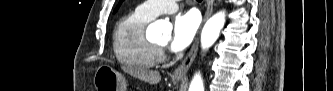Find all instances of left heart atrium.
I'll return each instance as SVG.
<instances>
[{
    "instance_id": "39dd6f15",
    "label": "left heart atrium",
    "mask_w": 333,
    "mask_h": 91,
    "mask_svg": "<svg viewBox=\"0 0 333 91\" xmlns=\"http://www.w3.org/2000/svg\"><path fill=\"white\" fill-rule=\"evenodd\" d=\"M199 27V17L194 12L179 15L173 22L170 49L179 52L187 48L193 41Z\"/></svg>"
}]
</instances>
